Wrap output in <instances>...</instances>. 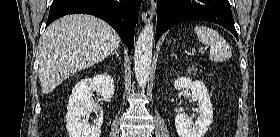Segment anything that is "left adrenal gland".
<instances>
[{
  "instance_id": "left-adrenal-gland-1",
  "label": "left adrenal gland",
  "mask_w": 280,
  "mask_h": 137,
  "mask_svg": "<svg viewBox=\"0 0 280 137\" xmlns=\"http://www.w3.org/2000/svg\"><path fill=\"white\" fill-rule=\"evenodd\" d=\"M171 56H175V54L172 53Z\"/></svg>"
}]
</instances>
